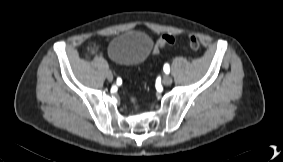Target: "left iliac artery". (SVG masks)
Returning <instances> with one entry per match:
<instances>
[{"mask_svg":"<svg viewBox=\"0 0 283 162\" xmlns=\"http://www.w3.org/2000/svg\"><path fill=\"white\" fill-rule=\"evenodd\" d=\"M164 72L167 73V74L170 72V67H169L168 64L164 65Z\"/></svg>","mask_w":283,"mask_h":162,"instance_id":"1","label":"left iliac artery"}]
</instances>
